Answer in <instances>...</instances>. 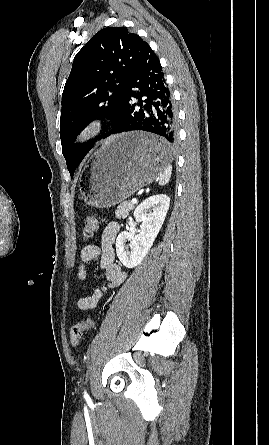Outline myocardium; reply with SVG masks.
I'll list each match as a JSON object with an SVG mask.
<instances>
[{"label":"myocardium","mask_w":269,"mask_h":445,"mask_svg":"<svg viewBox=\"0 0 269 445\" xmlns=\"http://www.w3.org/2000/svg\"><path fill=\"white\" fill-rule=\"evenodd\" d=\"M105 123L100 118H91L85 121L76 133V141L79 144H86L97 138L104 130Z\"/></svg>","instance_id":"myocardium-1"}]
</instances>
